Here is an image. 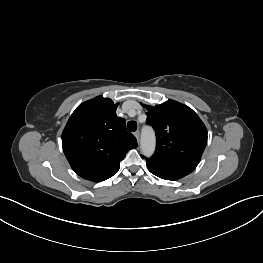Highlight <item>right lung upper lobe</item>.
I'll return each instance as SVG.
<instances>
[{"label": "right lung upper lobe", "mask_w": 263, "mask_h": 263, "mask_svg": "<svg viewBox=\"0 0 263 263\" xmlns=\"http://www.w3.org/2000/svg\"><path fill=\"white\" fill-rule=\"evenodd\" d=\"M118 104L96 97L79 105L62 133V146L72 169L82 178L100 182L112 177L127 152L138 146L116 115Z\"/></svg>", "instance_id": "1"}]
</instances>
